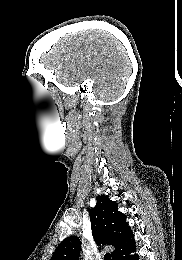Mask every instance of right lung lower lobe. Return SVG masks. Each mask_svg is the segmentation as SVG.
Here are the masks:
<instances>
[{
  "label": "right lung lower lobe",
  "instance_id": "98d812e1",
  "mask_svg": "<svg viewBox=\"0 0 182 260\" xmlns=\"http://www.w3.org/2000/svg\"><path fill=\"white\" fill-rule=\"evenodd\" d=\"M135 251V242L129 245L127 248L118 253L113 260H138V255H130Z\"/></svg>",
  "mask_w": 182,
  "mask_h": 260
}]
</instances>
